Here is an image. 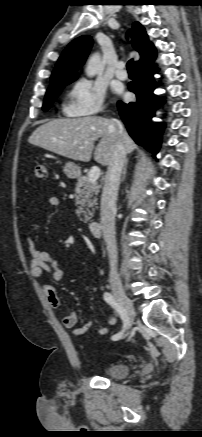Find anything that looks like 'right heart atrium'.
I'll return each mask as SVG.
<instances>
[{
  "label": "right heart atrium",
  "instance_id": "right-heart-atrium-1",
  "mask_svg": "<svg viewBox=\"0 0 202 437\" xmlns=\"http://www.w3.org/2000/svg\"><path fill=\"white\" fill-rule=\"evenodd\" d=\"M105 88L88 79H80L67 95L65 111L71 116H95L104 111Z\"/></svg>",
  "mask_w": 202,
  "mask_h": 437
}]
</instances>
